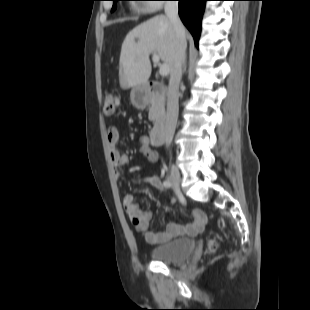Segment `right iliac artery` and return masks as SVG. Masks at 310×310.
Here are the masks:
<instances>
[{
    "mask_svg": "<svg viewBox=\"0 0 310 310\" xmlns=\"http://www.w3.org/2000/svg\"><path fill=\"white\" fill-rule=\"evenodd\" d=\"M163 184H164L165 187H168V188L172 186V183H171L170 179H166V180L163 182Z\"/></svg>",
    "mask_w": 310,
    "mask_h": 310,
    "instance_id": "right-iliac-artery-1",
    "label": "right iliac artery"
}]
</instances>
